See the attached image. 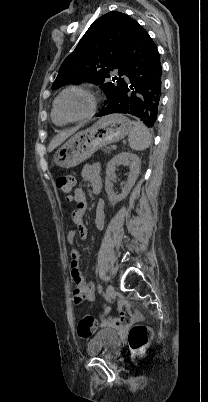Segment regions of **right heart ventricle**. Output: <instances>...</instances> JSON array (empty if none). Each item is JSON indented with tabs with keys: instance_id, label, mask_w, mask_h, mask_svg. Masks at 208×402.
<instances>
[{
	"instance_id": "obj_1",
	"label": "right heart ventricle",
	"mask_w": 208,
	"mask_h": 402,
	"mask_svg": "<svg viewBox=\"0 0 208 402\" xmlns=\"http://www.w3.org/2000/svg\"><path fill=\"white\" fill-rule=\"evenodd\" d=\"M51 120L55 126L62 127L65 126L67 123L63 122L58 115L55 113L54 109L51 111Z\"/></svg>"
}]
</instances>
